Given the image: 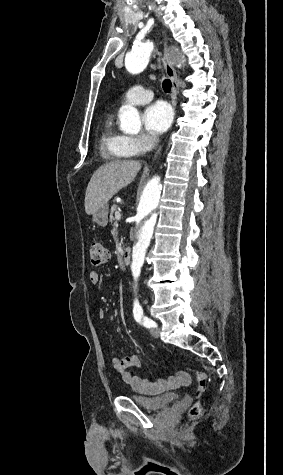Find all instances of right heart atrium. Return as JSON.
I'll list each match as a JSON object with an SVG mask.
<instances>
[{
  "label": "right heart atrium",
  "instance_id": "1",
  "mask_svg": "<svg viewBox=\"0 0 283 475\" xmlns=\"http://www.w3.org/2000/svg\"><path fill=\"white\" fill-rule=\"evenodd\" d=\"M156 145V140L146 134L136 137H124L122 146L127 156L142 157L151 151Z\"/></svg>",
  "mask_w": 283,
  "mask_h": 475
}]
</instances>
